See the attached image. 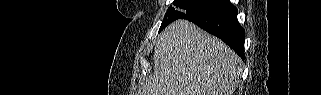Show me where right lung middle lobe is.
<instances>
[{
    "instance_id": "1",
    "label": "right lung middle lobe",
    "mask_w": 321,
    "mask_h": 95,
    "mask_svg": "<svg viewBox=\"0 0 321 95\" xmlns=\"http://www.w3.org/2000/svg\"><path fill=\"white\" fill-rule=\"evenodd\" d=\"M212 1L213 0H175L173 6L168 8L159 31L174 20L184 18L187 15L202 9Z\"/></svg>"
}]
</instances>
